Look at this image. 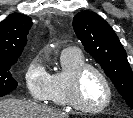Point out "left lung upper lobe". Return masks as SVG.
Segmentation results:
<instances>
[{
    "label": "left lung upper lobe",
    "instance_id": "1",
    "mask_svg": "<svg viewBox=\"0 0 133 118\" xmlns=\"http://www.w3.org/2000/svg\"><path fill=\"white\" fill-rule=\"evenodd\" d=\"M73 28L85 50L100 64L106 75L133 109V76L126 51L112 27L95 12L81 11Z\"/></svg>",
    "mask_w": 133,
    "mask_h": 118
}]
</instances>
